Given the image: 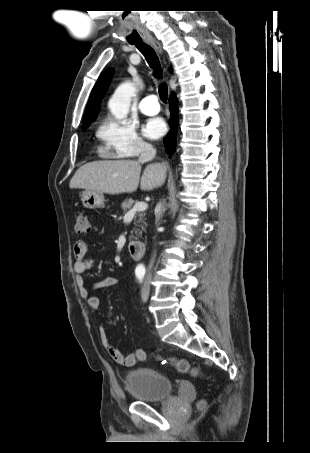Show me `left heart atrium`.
I'll return each instance as SVG.
<instances>
[{"mask_svg":"<svg viewBox=\"0 0 310 453\" xmlns=\"http://www.w3.org/2000/svg\"><path fill=\"white\" fill-rule=\"evenodd\" d=\"M166 125L165 122L160 118H155L149 120L144 128L143 133L146 137L150 139H156L162 136L165 133Z\"/></svg>","mask_w":310,"mask_h":453,"instance_id":"left-heart-atrium-1","label":"left heart atrium"}]
</instances>
